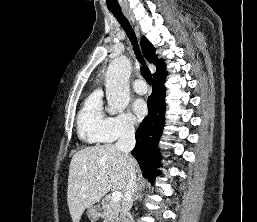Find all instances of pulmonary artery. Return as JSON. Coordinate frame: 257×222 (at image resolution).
Listing matches in <instances>:
<instances>
[{
    "label": "pulmonary artery",
    "mask_w": 257,
    "mask_h": 222,
    "mask_svg": "<svg viewBox=\"0 0 257 222\" xmlns=\"http://www.w3.org/2000/svg\"><path fill=\"white\" fill-rule=\"evenodd\" d=\"M132 86L135 92L138 94H146L148 91V88L143 80H135Z\"/></svg>",
    "instance_id": "e3ab8cb5"
}]
</instances>
